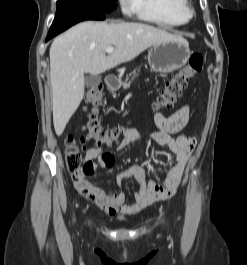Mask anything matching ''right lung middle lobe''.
<instances>
[{
    "mask_svg": "<svg viewBox=\"0 0 247 265\" xmlns=\"http://www.w3.org/2000/svg\"><path fill=\"white\" fill-rule=\"evenodd\" d=\"M116 7V0H57L56 16L76 12H97L106 14Z\"/></svg>",
    "mask_w": 247,
    "mask_h": 265,
    "instance_id": "right-lung-middle-lobe-1",
    "label": "right lung middle lobe"
}]
</instances>
